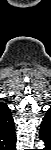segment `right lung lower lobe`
I'll list each match as a JSON object with an SVG mask.
<instances>
[{
    "instance_id": "right-lung-lower-lobe-1",
    "label": "right lung lower lobe",
    "mask_w": 51,
    "mask_h": 150,
    "mask_svg": "<svg viewBox=\"0 0 51 150\" xmlns=\"http://www.w3.org/2000/svg\"><path fill=\"white\" fill-rule=\"evenodd\" d=\"M12 150H15V146L12 147Z\"/></svg>"
}]
</instances>
